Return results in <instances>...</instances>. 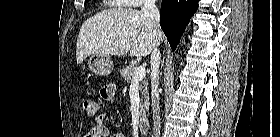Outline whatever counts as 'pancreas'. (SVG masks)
I'll return each instance as SVG.
<instances>
[{"label":"pancreas","instance_id":"obj_1","mask_svg":"<svg viewBox=\"0 0 280 137\" xmlns=\"http://www.w3.org/2000/svg\"><path fill=\"white\" fill-rule=\"evenodd\" d=\"M135 70L136 66L134 65H128L121 70V76L125 81H127V83L132 82ZM139 91L141 93V104L139 113L141 116V120H143L146 117V111H148L149 108L148 81L146 78L141 80Z\"/></svg>","mask_w":280,"mask_h":137}]
</instances>
